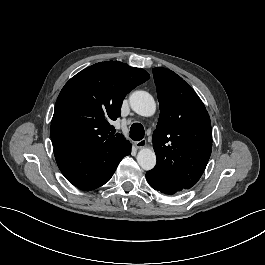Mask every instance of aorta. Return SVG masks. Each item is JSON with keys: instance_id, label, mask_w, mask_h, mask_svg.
I'll list each match as a JSON object with an SVG mask.
<instances>
[{"instance_id": "762f6f07", "label": "aorta", "mask_w": 265, "mask_h": 265, "mask_svg": "<svg viewBox=\"0 0 265 265\" xmlns=\"http://www.w3.org/2000/svg\"><path fill=\"white\" fill-rule=\"evenodd\" d=\"M131 108L142 117H152L156 113V102L153 96L146 91H136L130 97ZM137 162L144 170L152 169L156 164V155L153 149L142 147L137 153Z\"/></svg>"}]
</instances>
